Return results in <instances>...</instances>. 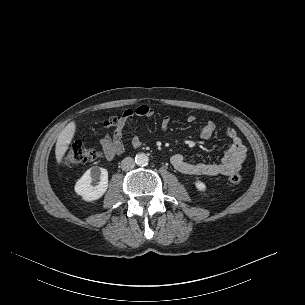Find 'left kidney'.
<instances>
[{"label":"left kidney","instance_id":"1","mask_svg":"<svg viewBox=\"0 0 305 305\" xmlns=\"http://www.w3.org/2000/svg\"><path fill=\"white\" fill-rule=\"evenodd\" d=\"M195 186L199 191H205L206 190V185L201 181H196Z\"/></svg>","mask_w":305,"mask_h":305}]
</instances>
